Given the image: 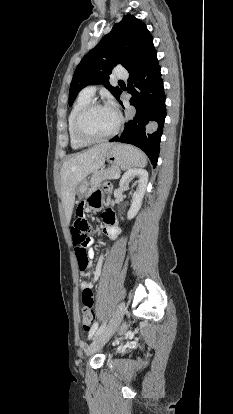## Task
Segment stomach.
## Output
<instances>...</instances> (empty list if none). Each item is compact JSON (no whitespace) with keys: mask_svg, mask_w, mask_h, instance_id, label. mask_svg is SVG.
Returning a JSON list of instances; mask_svg holds the SVG:
<instances>
[{"mask_svg":"<svg viewBox=\"0 0 233 414\" xmlns=\"http://www.w3.org/2000/svg\"><path fill=\"white\" fill-rule=\"evenodd\" d=\"M145 155L138 149L123 144H113L106 153L107 161L112 167L117 168H131L141 163ZM88 180L87 178L85 179ZM76 193L79 197H86L88 195V187L85 181H80L76 188Z\"/></svg>","mask_w":233,"mask_h":414,"instance_id":"1","label":"stomach"}]
</instances>
